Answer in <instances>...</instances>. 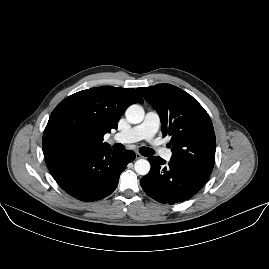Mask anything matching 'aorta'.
<instances>
[{
	"label": "aorta",
	"instance_id": "aorta-1",
	"mask_svg": "<svg viewBox=\"0 0 269 269\" xmlns=\"http://www.w3.org/2000/svg\"><path fill=\"white\" fill-rule=\"evenodd\" d=\"M126 119L132 124H139L144 120V109L139 105H131L125 112ZM134 170L139 175H146L150 171V163L146 159H138L134 164Z\"/></svg>",
	"mask_w": 269,
	"mask_h": 269
}]
</instances>
